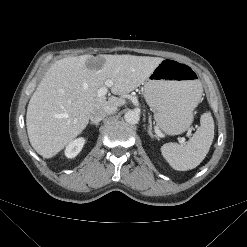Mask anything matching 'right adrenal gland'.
<instances>
[{
  "label": "right adrenal gland",
  "mask_w": 247,
  "mask_h": 247,
  "mask_svg": "<svg viewBox=\"0 0 247 247\" xmlns=\"http://www.w3.org/2000/svg\"><path fill=\"white\" fill-rule=\"evenodd\" d=\"M89 124H91V125H96V126L99 125V123H94V122H90Z\"/></svg>",
  "instance_id": "2a0ac1e0"
}]
</instances>
